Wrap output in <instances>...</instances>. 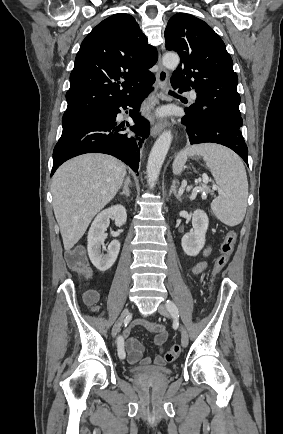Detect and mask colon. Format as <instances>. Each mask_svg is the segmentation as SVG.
<instances>
[{
    "label": "colon",
    "mask_w": 283,
    "mask_h": 434,
    "mask_svg": "<svg viewBox=\"0 0 283 434\" xmlns=\"http://www.w3.org/2000/svg\"><path fill=\"white\" fill-rule=\"evenodd\" d=\"M236 239H237V235L236 232L233 230L229 231L224 236L220 248V253L216 257L214 262L213 272H212L213 277L218 275L226 266L230 258V255L233 251L234 245L236 243ZM67 264L69 268L72 269L73 271L82 274L84 276L88 275L87 259L84 252L81 251L80 249L73 250L68 254ZM96 299H97L96 295L92 292H89L86 295V300L91 304H94L96 302ZM179 354H180V347L178 345H174L166 352L165 359L168 362H172L175 359H177Z\"/></svg>",
    "instance_id": "5ec220e1"
}]
</instances>
